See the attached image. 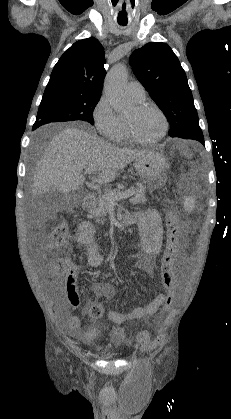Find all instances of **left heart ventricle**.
Listing matches in <instances>:
<instances>
[{"label": "left heart ventricle", "mask_w": 231, "mask_h": 419, "mask_svg": "<svg viewBox=\"0 0 231 419\" xmlns=\"http://www.w3.org/2000/svg\"><path fill=\"white\" fill-rule=\"evenodd\" d=\"M133 132L141 139H152L163 129L161 116L154 110L147 109L138 111L136 108L127 115Z\"/></svg>", "instance_id": "left-heart-ventricle-1"}]
</instances>
